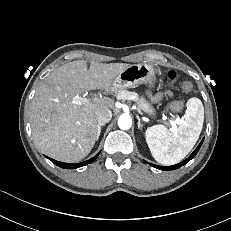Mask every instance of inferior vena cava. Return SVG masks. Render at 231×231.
<instances>
[{"label":"inferior vena cava","instance_id":"inferior-vena-cava-1","mask_svg":"<svg viewBox=\"0 0 231 231\" xmlns=\"http://www.w3.org/2000/svg\"><path fill=\"white\" fill-rule=\"evenodd\" d=\"M98 125H104L110 122L112 118V112L110 109H99L95 113Z\"/></svg>","mask_w":231,"mask_h":231}]
</instances>
